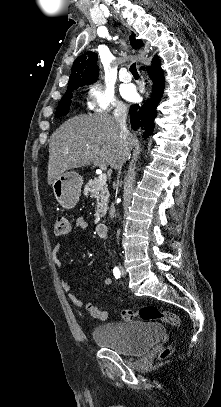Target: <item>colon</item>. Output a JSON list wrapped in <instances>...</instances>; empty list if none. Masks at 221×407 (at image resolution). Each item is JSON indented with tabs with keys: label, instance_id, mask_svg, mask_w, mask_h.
Returning <instances> with one entry per match:
<instances>
[{
	"label": "colon",
	"instance_id": "obj_1",
	"mask_svg": "<svg viewBox=\"0 0 221 407\" xmlns=\"http://www.w3.org/2000/svg\"><path fill=\"white\" fill-rule=\"evenodd\" d=\"M69 231V222L66 217L59 216L56 220L55 233L57 235H65ZM88 311L90 315L96 319L104 320L107 317V312L100 310L93 305H88ZM121 318L124 321H132L135 318H140L146 322L163 321L168 322L175 327L180 326L178 317L167 310H162L156 306H144L137 312L132 310H123L121 312ZM171 353V348H166L160 355L161 359L167 358Z\"/></svg>",
	"mask_w": 221,
	"mask_h": 407
}]
</instances>
